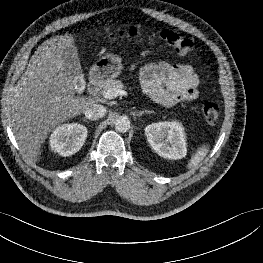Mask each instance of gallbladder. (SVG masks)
Listing matches in <instances>:
<instances>
[{
  "instance_id": "1",
  "label": "gallbladder",
  "mask_w": 263,
  "mask_h": 263,
  "mask_svg": "<svg viewBox=\"0 0 263 263\" xmlns=\"http://www.w3.org/2000/svg\"><path fill=\"white\" fill-rule=\"evenodd\" d=\"M63 56V65L72 80H78L83 77L80 60L77 51L72 48L66 50Z\"/></svg>"
}]
</instances>
